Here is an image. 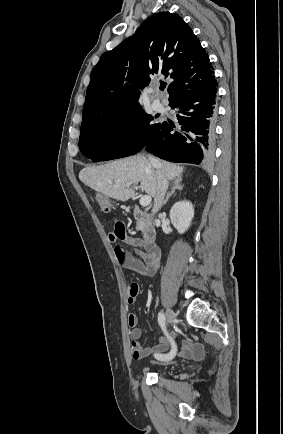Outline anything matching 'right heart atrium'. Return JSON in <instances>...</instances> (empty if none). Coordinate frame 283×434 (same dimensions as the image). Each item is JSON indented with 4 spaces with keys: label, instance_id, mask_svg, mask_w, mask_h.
Wrapping results in <instances>:
<instances>
[{
    "label": "right heart atrium",
    "instance_id": "1",
    "mask_svg": "<svg viewBox=\"0 0 283 434\" xmlns=\"http://www.w3.org/2000/svg\"><path fill=\"white\" fill-rule=\"evenodd\" d=\"M140 131V124L136 120H129L123 124L120 129L119 136L124 141H129L135 138Z\"/></svg>",
    "mask_w": 283,
    "mask_h": 434
}]
</instances>
